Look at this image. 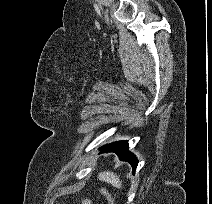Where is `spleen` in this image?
Returning a JSON list of instances; mask_svg holds the SVG:
<instances>
[{
	"label": "spleen",
	"instance_id": "spleen-1",
	"mask_svg": "<svg viewBox=\"0 0 212 204\" xmlns=\"http://www.w3.org/2000/svg\"><path fill=\"white\" fill-rule=\"evenodd\" d=\"M98 179L103 182L109 183L116 188L122 187V181L120 180L119 176H117L113 172L110 171L101 172L98 174Z\"/></svg>",
	"mask_w": 212,
	"mask_h": 204
}]
</instances>
